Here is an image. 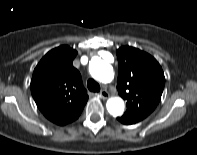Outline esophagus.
<instances>
[{"instance_id":"esophagus-1","label":"esophagus","mask_w":197,"mask_h":155,"mask_svg":"<svg viewBox=\"0 0 197 155\" xmlns=\"http://www.w3.org/2000/svg\"><path fill=\"white\" fill-rule=\"evenodd\" d=\"M99 95L102 99H107L110 96L106 89L101 90Z\"/></svg>"}]
</instances>
